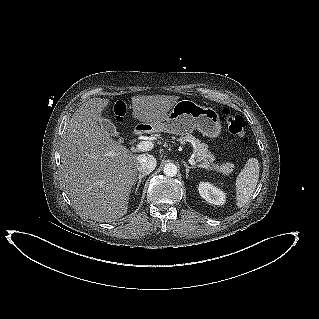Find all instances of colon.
Listing matches in <instances>:
<instances>
[{"label": "colon", "instance_id": "5ec220e1", "mask_svg": "<svg viewBox=\"0 0 319 319\" xmlns=\"http://www.w3.org/2000/svg\"><path fill=\"white\" fill-rule=\"evenodd\" d=\"M124 115L125 106L121 103L115 108V116L118 120H121ZM222 120L226 123L227 129L231 134L240 138L243 143L248 142L244 129L245 122L242 117L232 115L229 109H224L222 111Z\"/></svg>", "mask_w": 319, "mask_h": 319}]
</instances>
